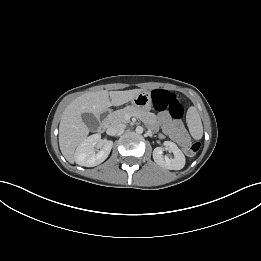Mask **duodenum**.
Masks as SVG:
<instances>
[{"mask_svg": "<svg viewBox=\"0 0 261 261\" xmlns=\"http://www.w3.org/2000/svg\"><path fill=\"white\" fill-rule=\"evenodd\" d=\"M106 129V123L104 121H102L98 127V130L100 132H103Z\"/></svg>", "mask_w": 261, "mask_h": 261, "instance_id": "410a0bca", "label": "duodenum"}]
</instances>
